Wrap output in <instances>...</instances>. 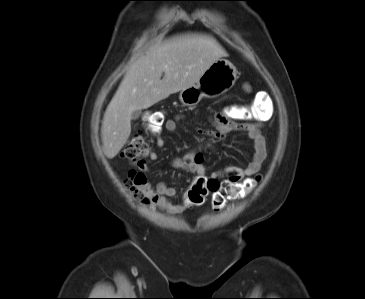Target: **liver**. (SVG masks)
Masks as SVG:
<instances>
[{"label":"liver","instance_id":"1","mask_svg":"<svg viewBox=\"0 0 365 299\" xmlns=\"http://www.w3.org/2000/svg\"><path fill=\"white\" fill-rule=\"evenodd\" d=\"M226 56L213 37L201 34L176 36L150 47L131 66L105 111L101 136L106 156L114 158L127 142L134 111L194 85L216 60Z\"/></svg>","mask_w":365,"mask_h":299}]
</instances>
